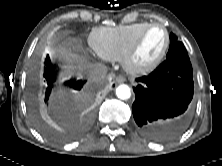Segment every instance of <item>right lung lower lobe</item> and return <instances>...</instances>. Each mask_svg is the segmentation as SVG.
I'll list each match as a JSON object with an SVG mask.
<instances>
[{
    "mask_svg": "<svg viewBox=\"0 0 222 166\" xmlns=\"http://www.w3.org/2000/svg\"><path fill=\"white\" fill-rule=\"evenodd\" d=\"M44 82H46L47 87L45 88L44 92V102L48 103L49 102V97L53 88V83L56 81V71L53 69L51 61L49 56L46 57L45 59V67H44ZM85 81L81 80H70L66 82V85L71 87L72 89L79 91L83 87Z\"/></svg>",
    "mask_w": 222,
    "mask_h": 166,
    "instance_id": "obj_1",
    "label": "right lung lower lobe"
}]
</instances>
